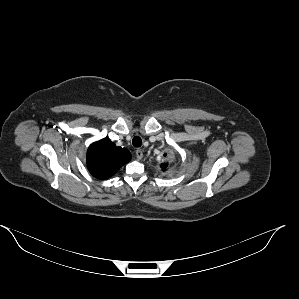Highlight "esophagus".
<instances>
[{
	"label": "esophagus",
	"instance_id": "1",
	"mask_svg": "<svg viewBox=\"0 0 299 299\" xmlns=\"http://www.w3.org/2000/svg\"><path fill=\"white\" fill-rule=\"evenodd\" d=\"M142 157H143V151L141 149H137L136 150V158H137V160L142 159Z\"/></svg>",
	"mask_w": 299,
	"mask_h": 299
}]
</instances>
